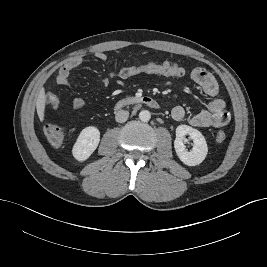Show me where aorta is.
Returning <instances> with one entry per match:
<instances>
[{
    "label": "aorta",
    "instance_id": "762f6f07",
    "mask_svg": "<svg viewBox=\"0 0 267 267\" xmlns=\"http://www.w3.org/2000/svg\"><path fill=\"white\" fill-rule=\"evenodd\" d=\"M151 118V113L148 110H142L139 113V119L143 122L149 121Z\"/></svg>",
    "mask_w": 267,
    "mask_h": 267
}]
</instances>
